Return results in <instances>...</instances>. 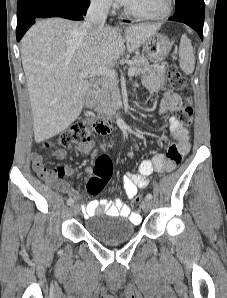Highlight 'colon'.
<instances>
[{"label":"colon","mask_w":227,"mask_h":298,"mask_svg":"<svg viewBox=\"0 0 227 298\" xmlns=\"http://www.w3.org/2000/svg\"><path fill=\"white\" fill-rule=\"evenodd\" d=\"M168 81L170 86L177 91H181L186 86V80L182 73L175 65L168 69ZM193 108L190 105L189 98H186V105L178 114V120L183 125H190L193 121ZM91 129L85 123H76L71 127L62 131L54 141H48L45 143L47 147L57 146L59 150L71 147L73 145H80L90 140ZM113 164L109 157L101 156L98 158L95 164L94 172L87 182V191L91 195L100 194L106 184L112 177ZM141 196H136L133 199V207L135 213H140Z\"/></svg>","instance_id":"colon-1"}]
</instances>
